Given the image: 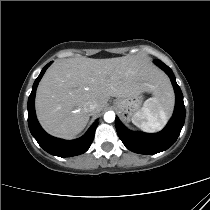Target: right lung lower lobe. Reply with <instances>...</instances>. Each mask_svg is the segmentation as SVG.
<instances>
[{
	"instance_id": "1",
	"label": "right lung lower lobe",
	"mask_w": 210,
	"mask_h": 210,
	"mask_svg": "<svg viewBox=\"0 0 210 210\" xmlns=\"http://www.w3.org/2000/svg\"><path fill=\"white\" fill-rule=\"evenodd\" d=\"M52 62L48 63L41 71L40 75L37 77L33 84L32 92L28 99V126L31 134L36 139L38 144L48 153L59 156V157H71L80 155L86 152L94 138L95 130L98 122L92 124L87 133L76 140L65 141L61 139L54 138L48 135L39 125L34 109V99L35 93L40 79L45 73L46 69L50 66Z\"/></svg>"
}]
</instances>
